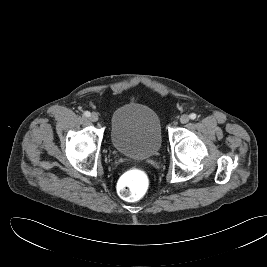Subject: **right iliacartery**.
I'll list each match as a JSON object with an SVG mask.
<instances>
[{
	"label": "right iliac artery",
	"instance_id": "1",
	"mask_svg": "<svg viewBox=\"0 0 267 267\" xmlns=\"http://www.w3.org/2000/svg\"><path fill=\"white\" fill-rule=\"evenodd\" d=\"M84 116H85V117H89V116H90V112H89V111H85V112H84Z\"/></svg>",
	"mask_w": 267,
	"mask_h": 267
}]
</instances>
